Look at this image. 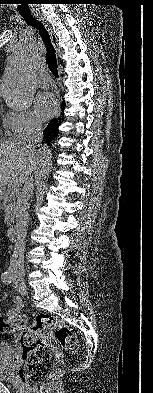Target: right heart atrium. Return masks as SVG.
Returning <instances> with one entry per match:
<instances>
[{
  "label": "right heart atrium",
  "instance_id": "1",
  "mask_svg": "<svg viewBox=\"0 0 153 393\" xmlns=\"http://www.w3.org/2000/svg\"><path fill=\"white\" fill-rule=\"evenodd\" d=\"M4 124L10 136L20 138L41 129V123L35 113L29 109L9 112Z\"/></svg>",
  "mask_w": 153,
  "mask_h": 393
}]
</instances>
